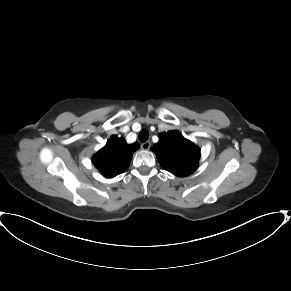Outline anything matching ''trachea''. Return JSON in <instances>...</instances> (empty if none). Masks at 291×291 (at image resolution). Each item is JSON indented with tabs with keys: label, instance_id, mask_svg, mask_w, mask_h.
Here are the masks:
<instances>
[{
	"label": "trachea",
	"instance_id": "obj_1",
	"mask_svg": "<svg viewBox=\"0 0 291 291\" xmlns=\"http://www.w3.org/2000/svg\"><path fill=\"white\" fill-rule=\"evenodd\" d=\"M139 141L144 143L148 140L149 138V131L147 129H143L140 131L138 135Z\"/></svg>",
	"mask_w": 291,
	"mask_h": 291
}]
</instances>
